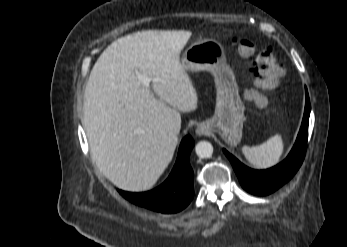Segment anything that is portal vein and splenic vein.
Here are the masks:
<instances>
[{"label": "portal vein and splenic vein", "instance_id": "1", "mask_svg": "<svg viewBox=\"0 0 347 247\" xmlns=\"http://www.w3.org/2000/svg\"><path fill=\"white\" fill-rule=\"evenodd\" d=\"M136 75L138 79L144 84L145 87H149V83L153 80L151 78L146 77L145 75L141 74L139 71H136Z\"/></svg>", "mask_w": 347, "mask_h": 247}]
</instances>
